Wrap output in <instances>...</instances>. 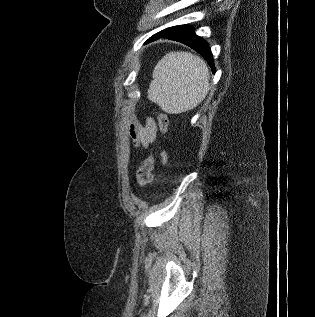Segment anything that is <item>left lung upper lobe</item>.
Instances as JSON below:
<instances>
[{"instance_id":"left-lung-upper-lobe-1","label":"left lung upper lobe","mask_w":315,"mask_h":317,"mask_svg":"<svg viewBox=\"0 0 315 317\" xmlns=\"http://www.w3.org/2000/svg\"><path fill=\"white\" fill-rule=\"evenodd\" d=\"M169 28H167V29H164V30H162V31H160V32H158L157 34H155V35H159V34H162V33H164L166 30H168ZM155 35H153V36H155ZM148 41H150V38L148 39Z\"/></svg>"}]
</instances>
